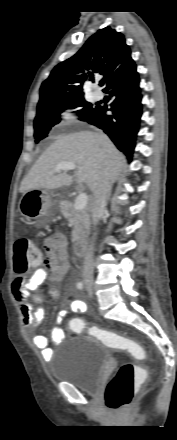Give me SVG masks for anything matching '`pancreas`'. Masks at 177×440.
Returning <instances> with one entry per match:
<instances>
[{
  "label": "pancreas",
  "instance_id": "obj_1",
  "mask_svg": "<svg viewBox=\"0 0 177 440\" xmlns=\"http://www.w3.org/2000/svg\"><path fill=\"white\" fill-rule=\"evenodd\" d=\"M59 207L62 215L73 226L72 242L84 238L90 229V216L88 211L86 209L76 210L70 201H61Z\"/></svg>",
  "mask_w": 177,
  "mask_h": 440
}]
</instances>
